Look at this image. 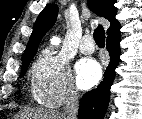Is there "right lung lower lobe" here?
<instances>
[{
    "label": "right lung lower lobe",
    "instance_id": "98d812e1",
    "mask_svg": "<svg viewBox=\"0 0 142 119\" xmlns=\"http://www.w3.org/2000/svg\"><path fill=\"white\" fill-rule=\"evenodd\" d=\"M106 47L110 55V63L105 77L96 89L82 97L79 107L80 119H103L110 100V87L115 79V69L120 57V33L107 37Z\"/></svg>",
    "mask_w": 142,
    "mask_h": 119
}]
</instances>
